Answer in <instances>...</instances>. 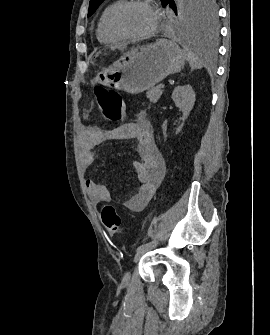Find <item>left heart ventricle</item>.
<instances>
[{
    "label": "left heart ventricle",
    "mask_w": 270,
    "mask_h": 335,
    "mask_svg": "<svg viewBox=\"0 0 270 335\" xmlns=\"http://www.w3.org/2000/svg\"><path fill=\"white\" fill-rule=\"evenodd\" d=\"M120 25L129 33L143 34L152 28L154 25V18L146 9L140 6L132 5L126 8V10L121 14Z\"/></svg>",
    "instance_id": "b2bd125f"
}]
</instances>
